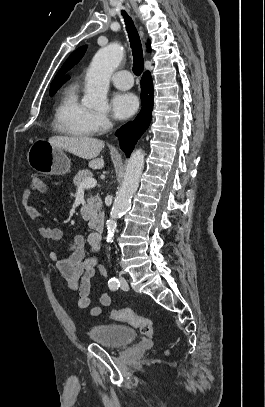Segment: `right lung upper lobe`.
Here are the masks:
<instances>
[{
	"label": "right lung upper lobe",
	"mask_w": 265,
	"mask_h": 407,
	"mask_svg": "<svg viewBox=\"0 0 265 407\" xmlns=\"http://www.w3.org/2000/svg\"><path fill=\"white\" fill-rule=\"evenodd\" d=\"M86 49H87V46H82V47L78 48L76 51H74L69 56L67 61L64 63L62 68L59 70V72L55 76L51 85L63 84L65 81H67L69 79V76H66L64 74L81 60V58L84 56V54L86 52ZM148 51H150L149 47H148Z\"/></svg>",
	"instance_id": "obj_1"
}]
</instances>
